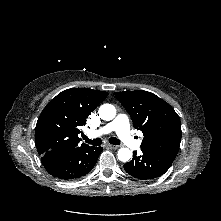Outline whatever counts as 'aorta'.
<instances>
[{
  "label": "aorta",
  "mask_w": 221,
  "mask_h": 221,
  "mask_svg": "<svg viewBox=\"0 0 221 221\" xmlns=\"http://www.w3.org/2000/svg\"><path fill=\"white\" fill-rule=\"evenodd\" d=\"M98 113L102 120L110 121L115 118L116 109L112 104H103L100 106ZM117 155L122 162H127L132 157V153L128 148H120Z\"/></svg>",
  "instance_id": "aorta-1"
}]
</instances>
